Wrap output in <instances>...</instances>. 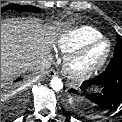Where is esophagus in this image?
Listing matches in <instances>:
<instances>
[{
	"mask_svg": "<svg viewBox=\"0 0 122 122\" xmlns=\"http://www.w3.org/2000/svg\"><path fill=\"white\" fill-rule=\"evenodd\" d=\"M57 74H58V72L54 69L49 70L47 73L48 77H55V76H57Z\"/></svg>",
	"mask_w": 122,
	"mask_h": 122,
	"instance_id": "esophagus-1",
	"label": "esophagus"
}]
</instances>
